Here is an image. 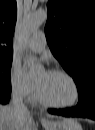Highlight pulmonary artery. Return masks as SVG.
Masks as SVG:
<instances>
[{"instance_id":"pulmonary-artery-1","label":"pulmonary artery","mask_w":95,"mask_h":130,"mask_svg":"<svg viewBox=\"0 0 95 130\" xmlns=\"http://www.w3.org/2000/svg\"><path fill=\"white\" fill-rule=\"evenodd\" d=\"M28 48L35 52H41L46 47V37L43 32H36L28 42Z\"/></svg>"}]
</instances>
